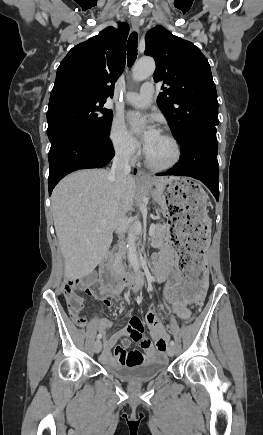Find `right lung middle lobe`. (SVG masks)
Segmentation results:
<instances>
[{
  "label": "right lung middle lobe",
  "mask_w": 263,
  "mask_h": 435,
  "mask_svg": "<svg viewBox=\"0 0 263 435\" xmlns=\"http://www.w3.org/2000/svg\"><path fill=\"white\" fill-rule=\"evenodd\" d=\"M105 100L78 99L49 106L47 135L51 141L62 130H82L100 138L110 133L112 111Z\"/></svg>",
  "instance_id": "obj_1"
}]
</instances>
